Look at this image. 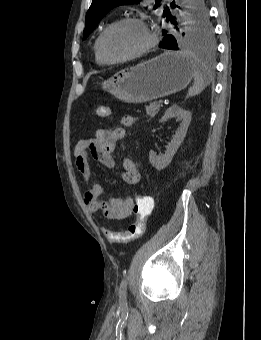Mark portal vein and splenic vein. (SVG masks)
<instances>
[{
	"label": "portal vein and splenic vein",
	"instance_id": "obj_1",
	"mask_svg": "<svg viewBox=\"0 0 261 340\" xmlns=\"http://www.w3.org/2000/svg\"><path fill=\"white\" fill-rule=\"evenodd\" d=\"M158 103H159V104H162V103H163V100H162V99H160V100L158 101Z\"/></svg>",
	"mask_w": 261,
	"mask_h": 340
}]
</instances>
